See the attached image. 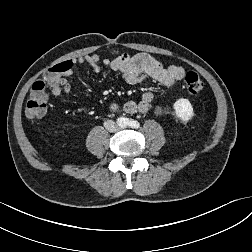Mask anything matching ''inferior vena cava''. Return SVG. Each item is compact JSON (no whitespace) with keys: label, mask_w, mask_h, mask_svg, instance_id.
Here are the masks:
<instances>
[{"label":"inferior vena cava","mask_w":252,"mask_h":252,"mask_svg":"<svg viewBox=\"0 0 252 252\" xmlns=\"http://www.w3.org/2000/svg\"><path fill=\"white\" fill-rule=\"evenodd\" d=\"M104 127L109 131V132H117L119 127L113 120H106L104 122Z\"/></svg>","instance_id":"obj_1"}]
</instances>
